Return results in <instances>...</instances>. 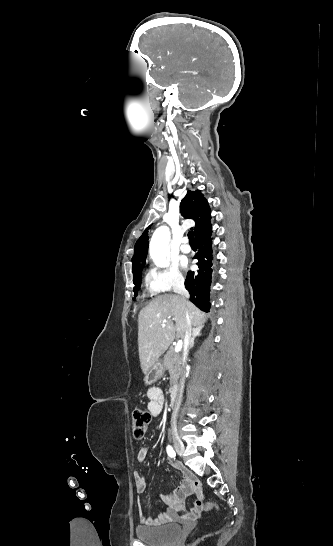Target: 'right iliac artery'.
Here are the masks:
<instances>
[{
    "mask_svg": "<svg viewBox=\"0 0 333 546\" xmlns=\"http://www.w3.org/2000/svg\"><path fill=\"white\" fill-rule=\"evenodd\" d=\"M167 454L171 457V458H175L176 456V453L174 451V449L172 448V446L168 445L167 448Z\"/></svg>",
    "mask_w": 333,
    "mask_h": 546,
    "instance_id": "1",
    "label": "right iliac artery"
}]
</instances>
